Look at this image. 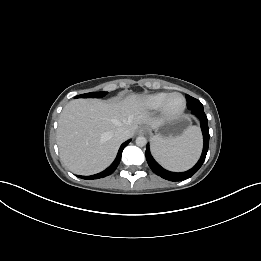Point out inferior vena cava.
<instances>
[{
	"instance_id": "1",
	"label": "inferior vena cava",
	"mask_w": 261,
	"mask_h": 261,
	"mask_svg": "<svg viewBox=\"0 0 261 261\" xmlns=\"http://www.w3.org/2000/svg\"><path fill=\"white\" fill-rule=\"evenodd\" d=\"M115 137L119 140H125L128 137V131L124 128H120L115 132Z\"/></svg>"
}]
</instances>
